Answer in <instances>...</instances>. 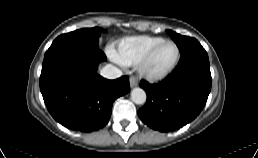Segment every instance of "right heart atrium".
I'll return each mask as SVG.
<instances>
[{"mask_svg": "<svg viewBox=\"0 0 258 158\" xmlns=\"http://www.w3.org/2000/svg\"><path fill=\"white\" fill-rule=\"evenodd\" d=\"M110 55H111V57L115 60V61H117L118 62V60L115 58V56H114V52L113 51H110Z\"/></svg>", "mask_w": 258, "mask_h": 158, "instance_id": "d8ad5b80", "label": "right heart atrium"}]
</instances>
